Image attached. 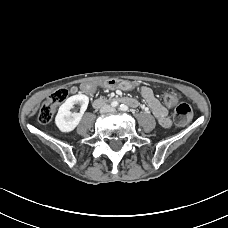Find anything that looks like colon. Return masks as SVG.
<instances>
[{
    "label": "colon",
    "mask_w": 228,
    "mask_h": 228,
    "mask_svg": "<svg viewBox=\"0 0 228 228\" xmlns=\"http://www.w3.org/2000/svg\"><path fill=\"white\" fill-rule=\"evenodd\" d=\"M67 97L68 90L65 88L53 91L39 109V122L42 124L49 123L53 119L58 106L64 103ZM166 101L175 106L174 121L178 126H184L191 121L193 116L191 107L185 102H180L177 94L167 95Z\"/></svg>",
    "instance_id": "5ec220e1"
}]
</instances>
